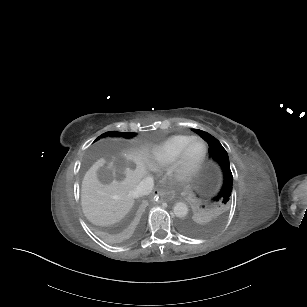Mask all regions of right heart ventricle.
I'll use <instances>...</instances> for the list:
<instances>
[{"mask_svg":"<svg viewBox=\"0 0 307 307\" xmlns=\"http://www.w3.org/2000/svg\"><path fill=\"white\" fill-rule=\"evenodd\" d=\"M191 135L174 134L153 144H140L135 147L134 153L143 155L150 161L164 166L174 160Z\"/></svg>","mask_w":307,"mask_h":307,"instance_id":"obj_1","label":"right heart ventricle"}]
</instances>
